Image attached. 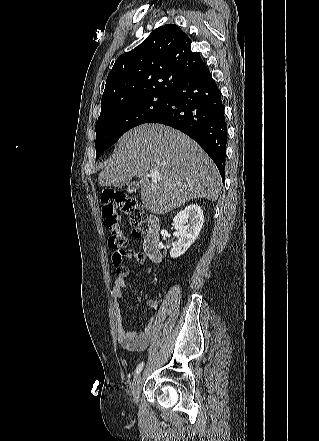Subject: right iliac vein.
Instances as JSON below:
<instances>
[{
  "instance_id": "right-iliac-vein-1",
  "label": "right iliac vein",
  "mask_w": 319,
  "mask_h": 441,
  "mask_svg": "<svg viewBox=\"0 0 319 441\" xmlns=\"http://www.w3.org/2000/svg\"><path fill=\"white\" fill-rule=\"evenodd\" d=\"M141 375L138 374L134 380H133V384H132V396H133V401L135 404L138 403V399H139V394H140V388H141Z\"/></svg>"
}]
</instances>
